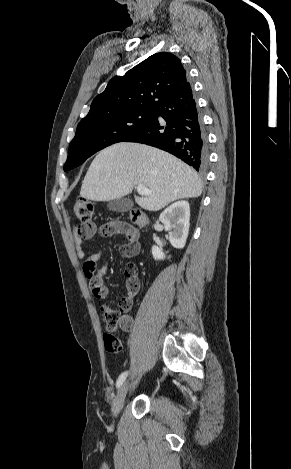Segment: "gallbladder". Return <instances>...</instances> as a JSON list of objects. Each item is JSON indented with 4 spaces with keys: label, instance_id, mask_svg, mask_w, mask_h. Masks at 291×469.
Masks as SVG:
<instances>
[{
    "label": "gallbladder",
    "instance_id": "1",
    "mask_svg": "<svg viewBox=\"0 0 291 469\" xmlns=\"http://www.w3.org/2000/svg\"><path fill=\"white\" fill-rule=\"evenodd\" d=\"M133 206V202L128 198H119L108 201L107 207L114 212H127Z\"/></svg>",
    "mask_w": 291,
    "mask_h": 469
}]
</instances>
